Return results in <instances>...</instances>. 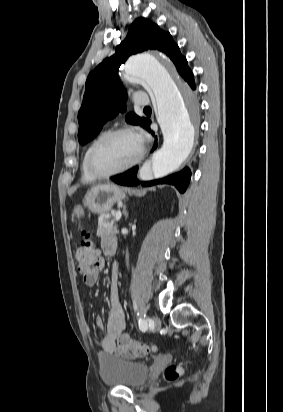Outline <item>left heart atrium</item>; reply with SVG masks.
I'll use <instances>...</instances> for the list:
<instances>
[{"label": "left heart atrium", "mask_w": 283, "mask_h": 412, "mask_svg": "<svg viewBox=\"0 0 283 412\" xmlns=\"http://www.w3.org/2000/svg\"><path fill=\"white\" fill-rule=\"evenodd\" d=\"M136 138H137V140L139 141V143L142 144V142H143V136H142V134L136 135Z\"/></svg>", "instance_id": "left-heart-atrium-1"}]
</instances>
